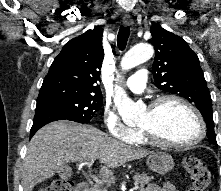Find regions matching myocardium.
Returning a JSON list of instances; mask_svg holds the SVG:
<instances>
[{"instance_id":"obj_1","label":"myocardium","mask_w":221,"mask_h":191,"mask_svg":"<svg viewBox=\"0 0 221 191\" xmlns=\"http://www.w3.org/2000/svg\"><path fill=\"white\" fill-rule=\"evenodd\" d=\"M166 102H177L181 104L182 106H184L193 114L199 126V133L197 137L191 141L184 142V143H172V142H167V141L160 139L152 130H149L144 127H140L139 129L142 132L143 136L145 137L146 141L153 146L161 147V148H169V149H186L202 142V140L206 136L205 121L201 113L199 112V110L185 98L178 96V95H174V94L159 96L149 105V111L151 112L157 111Z\"/></svg>"}]
</instances>
